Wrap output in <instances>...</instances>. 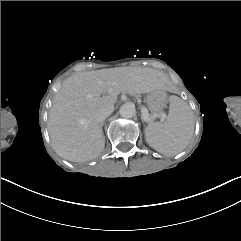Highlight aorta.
Wrapping results in <instances>:
<instances>
[{
	"mask_svg": "<svg viewBox=\"0 0 241 241\" xmlns=\"http://www.w3.org/2000/svg\"><path fill=\"white\" fill-rule=\"evenodd\" d=\"M119 112L123 118H132L136 114V109L134 104L125 103L120 107Z\"/></svg>",
	"mask_w": 241,
	"mask_h": 241,
	"instance_id": "aorta-1",
	"label": "aorta"
}]
</instances>
